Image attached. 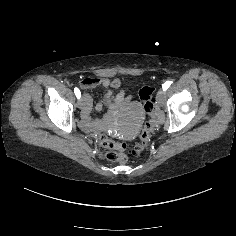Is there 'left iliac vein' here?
I'll return each instance as SVG.
<instances>
[{
	"mask_svg": "<svg viewBox=\"0 0 236 236\" xmlns=\"http://www.w3.org/2000/svg\"><path fill=\"white\" fill-rule=\"evenodd\" d=\"M165 98H166L165 91L163 89H159L156 95V100L159 103V105L163 106V104L165 103Z\"/></svg>",
	"mask_w": 236,
	"mask_h": 236,
	"instance_id": "4c4485c4",
	"label": "left iliac vein"
}]
</instances>
